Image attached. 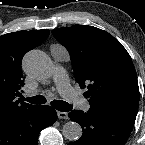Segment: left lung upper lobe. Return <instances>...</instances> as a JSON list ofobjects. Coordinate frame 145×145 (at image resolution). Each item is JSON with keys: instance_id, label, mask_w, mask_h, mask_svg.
I'll return each instance as SVG.
<instances>
[{"instance_id": "1", "label": "left lung upper lobe", "mask_w": 145, "mask_h": 145, "mask_svg": "<svg viewBox=\"0 0 145 145\" xmlns=\"http://www.w3.org/2000/svg\"><path fill=\"white\" fill-rule=\"evenodd\" d=\"M69 52L76 81L90 107L138 109L139 87L131 57L112 35L93 26L74 25L52 31Z\"/></svg>"}]
</instances>
